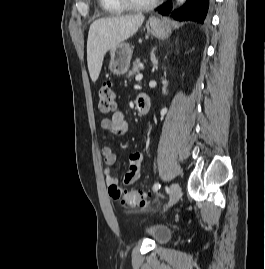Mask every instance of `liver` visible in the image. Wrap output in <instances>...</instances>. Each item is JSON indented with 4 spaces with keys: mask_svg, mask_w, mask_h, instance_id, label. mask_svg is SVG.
I'll return each instance as SVG.
<instances>
[{
    "mask_svg": "<svg viewBox=\"0 0 265 269\" xmlns=\"http://www.w3.org/2000/svg\"><path fill=\"white\" fill-rule=\"evenodd\" d=\"M144 15L100 18L91 25L87 40V64L91 80L100 74L106 52L132 37L144 22Z\"/></svg>",
    "mask_w": 265,
    "mask_h": 269,
    "instance_id": "1",
    "label": "liver"
}]
</instances>
